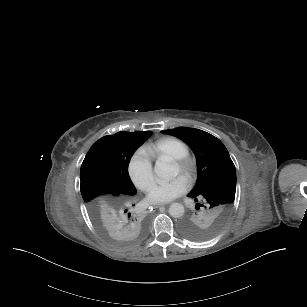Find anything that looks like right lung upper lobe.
Segmentation results:
<instances>
[{
  "instance_id": "1",
  "label": "right lung upper lobe",
  "mask_w": 307,
  "mask_h": 307,
  "mask_svg": "<svg viewBox=\"0 0 307 307\" xmlns=\"http://www.w3.org/2000/svg\"><path fill=\"white\" fill-rule=\"evenodd\" d=\"M151 134V131L118 132L102 137L88 151V156H94L110 167L118 179L117 187L112 191L84 201L100 228L134 235L145 230L148 213L136 196V188L128 174V164L135 150Z\"/></svg>"
}]
</instances>
